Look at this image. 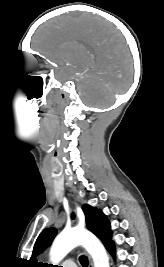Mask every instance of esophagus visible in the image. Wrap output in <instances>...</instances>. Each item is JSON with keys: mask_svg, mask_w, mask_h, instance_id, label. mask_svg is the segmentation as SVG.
I'll return each mask as SVG.
<instances>
[{"mask_svg": "<svg viewBox=\"0 0 164 267\" xmlns=\"http://www.w3.org/2000/svg\"><path fill=\"white\" fill-rule=\"evenodd\" d=\"M89 267H93V263H92V261L90 260V258H89Z\"/></svg>", "mask_w": 164, "mask_h": 267, "instance_id": "esophagus-1", "label": "esophagus"}]
</instances>
